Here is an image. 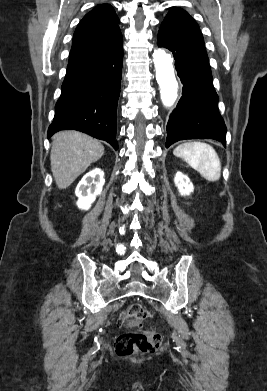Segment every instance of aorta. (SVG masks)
I'll return each instance as SVG.
<instances>
[{"instance_id":"obj_1","label":"aorta","mask_w":267,"mask_h":391,"mask_svg":"<svg viewBox=\"0 0 267 391\" xmlns=\"http://www.w3.org/2000/svg\"><path fill=\"white\" fill-rule=\"evenodd\" d=\"M153 62L156 80L160 88V98L165 107H171L178 97V82L175 78L171 55L163 49H155Z\"/></svg>"}]
</instances>
